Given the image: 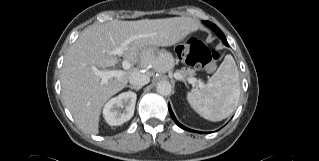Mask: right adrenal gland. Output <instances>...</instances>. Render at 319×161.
Instances as JSON below:
<instances>
[{
	"mask_svg": "<svg viewBox=\"0 0 319 161\" xmlns=\"http://www.w3.org/2000/svg\"><path fill=\"white\" fill-rule=\"evenodd\" d=\"M127 87H129L130 89H134L136 91H139L141 89V87H134V86H131V85H128Z\"/></svg>",
	"mask_w": 319,
	"mask_h": 161,
	"instance_id": "obj_1",
	"label": "right adrenal gland"
}]
</instances>
